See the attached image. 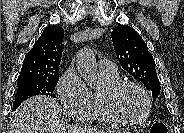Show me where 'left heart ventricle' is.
<instances>
[{
    "mask_svg": "<svg viewBox=\"0 0 184 133\" xmlns=\"http://www.w3.org/2000/svg\"><path fill=\"white\" fill-rule=\"evenodd\" d=\"M115 108L124 118L138 119L146 110V102L138 89L127 87L116 96Z\"/></svg>",
    "mask_w": 184,
    "mask_h": 133,
    "instance_id": "left-heart-ventricle-1",
    "label": "left heart ventricle"
}]
</instances>
